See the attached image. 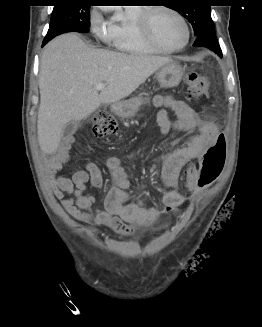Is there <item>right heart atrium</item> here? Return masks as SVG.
Here are the masks:
<instances>
[{"label":"right heart atrium","mask_w":262,"mask_h":327,"mask_svg":"<svg viewBox=\"0 0 262 327\" xmlns=\"http://www.w3.org/2000/svg\"><path fill=\"white\" fill-rule=\"evenodd\" d=\"M89 26L93 34L102 41L109 42L112 40L111 25L104 20L103 15L99 11H91Z\"/></svg>","instance_id":"d8ad5b80"}]
</instances>
